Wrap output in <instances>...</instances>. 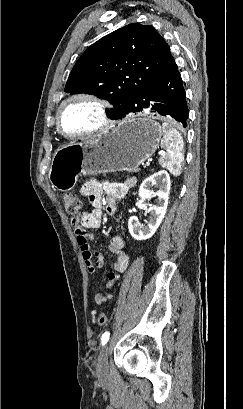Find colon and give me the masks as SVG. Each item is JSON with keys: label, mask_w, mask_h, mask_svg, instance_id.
Returning a JSON list of instances; mask_svg holds the SVG:
<instances>
[{"label": "colon", "mask_w": 243, "mask_h": 409, "mask_svg": "<svg viewBox=\"0 0 243 409\" xmlns=\"http://www.w3.org/2000/svg\"><path fill=\"white\" fill-rule=\"evenodd\" d=\"M62 200L67 213L73 216V219H78L82 205L81 200L72 194H64ZM77 232L84 234L85 230L78 227ZM96 321L100 326H104L107 323V316L103 312H98L96 315Z\"/></svg>", "instance_id": "obj_1"}]
</instances>
